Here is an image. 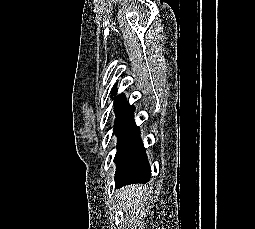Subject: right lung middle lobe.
Masks as SVG:
<instances>
[{"mask_svg": "<svg viewBox=\"0 0 255 229\" xmlns=\"http://www.w3.org/2000/svg\"><path fill=\"white\" fill-rule=\"evenodd\" d=\"M113 132L118 135L116 174L127 173L133 164L148 166L145 149L139 139V129L127 116L117 118Z\"/></svg>", "mask_w": 255, "mask_h": 229, "instance_id": "obj_1", "label": "right lung middle lobe"}]
</instances>
